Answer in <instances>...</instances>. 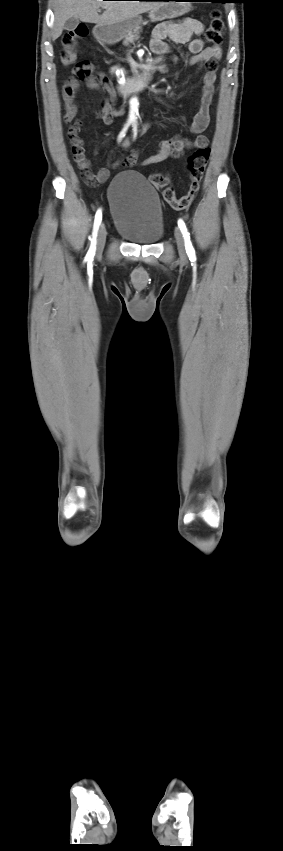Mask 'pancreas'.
Here are the masks:
<instances>
[{
  "label": "pancreas",
  "instance_id": "1",
  "mask_svg": "<svg viewBox=\"0 0 283 851\" xmlns=\"http://www.w3.org/2000/svg\"><path fill=\"white\" fill-rule=\"evenodd\" d=\"M138 34H139L138 30H136L133 34H129V35L125 38V40H124V44H125V45H128L129 43H133V42H134V40H137V39L139 38Z\"/></svg>",
  "mask_w": 283,
  "mask_h": 851
}]
</instances>
